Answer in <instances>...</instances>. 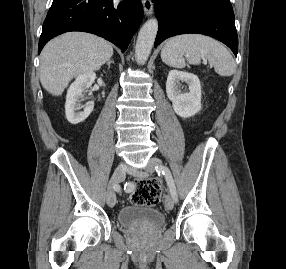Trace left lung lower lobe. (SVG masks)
<instances>
[{"label":"left lung lower lobe","instance_id":"0a47b994","mask_svg":"<svg viewBox=\"0 0 286 269\" xmlns=\"http://www.w3.org/2000/svg\"><path fill=\"white\" fill-rule=\"evenodd\" d=\"M159 29L155 47L166 38L199 33L216 38L238 52L235 18L229 0H153Z\"/></svg>","mask_w":286,"mask_h":269}]
</instances>
